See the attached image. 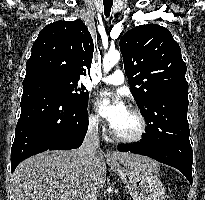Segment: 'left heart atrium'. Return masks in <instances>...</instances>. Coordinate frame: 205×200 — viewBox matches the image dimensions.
<instances>
[{
	"label": "left heart atrium",
	"mask_w": 205,
	"mask_h": 200,
	"mask_svg": "<svg viewBox=\"0 0 205 200\" xmlns=\"http://www.w3.org/2000/svg\"><path fill=\"white\" fill-rule=\"evenodd\" d=\"M96 107L98 112L108 121L112 128H114L127 111V106L122 96L108 91H103L98 94Z\"/></svg>",
	"instance_id": "left-heart-atrium-1"
}]
</instances>
